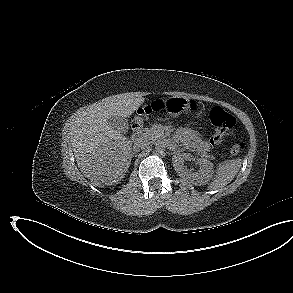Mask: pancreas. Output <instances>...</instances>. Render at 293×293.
Here are the masks:
<instances>
[{"mask_svg": "<svg viewBox=\"0 0 293 293\" xmlns=\"http://www.w3.org/2000/svg\"><path fill=\"white\" fill-rule=\"evenodd\" d=\"M164 136V127L161 124H156L143 130V137L148 140H156Z\"/></svg>", "mask_w": 293, "mask_h": 293, "instance_id": "obj_1", "label": "pancreas"}]
</instances>
